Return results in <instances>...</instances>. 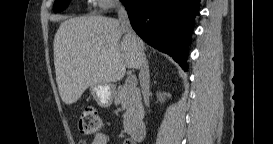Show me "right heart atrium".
Instances as JSON below:
<instances>
[{"instance_id": "1", "label": "right heart atrium", "mask_w": 273, "mask_h": 144, "mask_svg": "<svg viewBox=\"0 0 273 144\" xmlns=\"http://www.w3.org/2000/svg\"><path fill=\"white\" fill-rule=\"evenodd\" d=\"M119 4V0H94V5L96 9L101 12H106L110 9H113Z\"/></svg>"}]
</instances>
